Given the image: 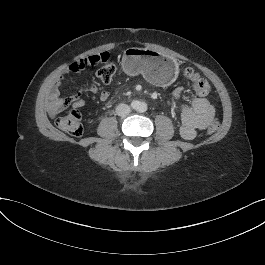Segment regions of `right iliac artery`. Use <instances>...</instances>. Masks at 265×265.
Returning a JSON list of instances; mask_svg holds the SVG:
<instances>
[{"label":"right iliac artery","mask_w":265,"mask_h":265,"mask_svg":"<svg viewBox=\"0 0 265 265\" xmlns=\"http://www.w3.org/2000/svg\"><path fill=\"white\" fill-rule=\"evenodd\" d=\"M131 105H132L133 108H136V107H138V102H135V101H134V102H132Z\"/></svg>","instance_id":"82829eb1"}]
</instances>
